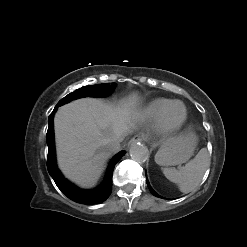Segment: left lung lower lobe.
I'll return each instance as SVG.
<instances>
[{
	"mask_svg": "<svg viewBox=\"0 0 247 247\" xmlns=\"http://www.w3.org/2000/svg\"><path fill=\"white\" fill-rule=\"evenodd\" d=\"M146 183L148 184V187H149V189H150V192H151L154 196L159 197V198H163V197H161L160 195H158V194L152 189V187L150 186V184H149V182H148V180H147V177H146Z\"/></svg>",
	"mask_w": 247,
	"mask_h": 247,
	"instance_id": "obj_1",
	"label": "left lung lower lobe"
}]
</instances>
